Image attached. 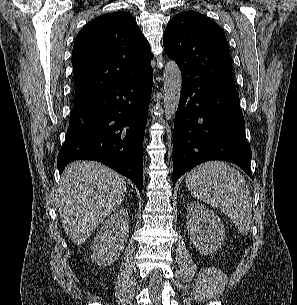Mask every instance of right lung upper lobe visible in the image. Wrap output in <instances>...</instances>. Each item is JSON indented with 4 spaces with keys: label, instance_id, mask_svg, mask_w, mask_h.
Returning a JSON list of instances; mask_svg holds the SVG:
<instances>
[{
    "label": "right lung upper lobe",
    "instance_id": "right-lung-upper-lobe-1",
    "mask_svg": "<svg viewBox=\"0 0 297 305\" xmlns=\"http://www.w3.org/2000/svg\"><path fill=\"white\" fill-rule=\"evenodd\" d=\"M151 47L131 14L96 17L78 33L73 47L74 103L152 69Z\"/></svg>",
    "mask_w": 297,
    "mask_h": 305
}]
</instances>
